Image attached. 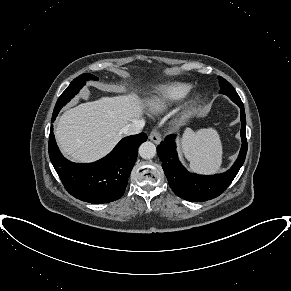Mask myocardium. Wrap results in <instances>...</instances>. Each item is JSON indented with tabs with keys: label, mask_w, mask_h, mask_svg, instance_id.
<instances>
[{
	"label": "myocardium",
	"mask_w": 291,
	"mask_h": 291,
	"mask_svg": "<svg viewBox=\"0 0 291 291\" xmlns=\"http://www.w3.org/2000/svg\"><path fill=\"white\" fill-rule=\"evenodd\" d=\"M199 102H200L199 96L192 98L181 111L179 116V122H184L188 118H190L194 114Z\"/></svg>",
	"instance_id": "myocardium-1"
}]
</instances>
